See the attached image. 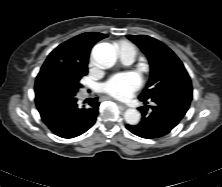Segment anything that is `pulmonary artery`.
I'll return each mask as SVG.
<instances>
[{
    "label": "pulmonary artery",
    "instance_id": "pulmonary-artery-1",
    "mask_svg": "<svg viewBox=\"0 0 222 187\" xmlns=\"http://www.w3.org/2000/svg\"><path fill=\"white\" fill-rule=\"evenodd\" d=\"M120 57L123 63L131 65L136 57V50L131 45L123 46L120 48Z\"/></svg>",
    "mask_w": 222,
    "mask_h": 187
}]
</instances>
